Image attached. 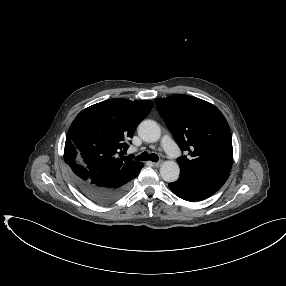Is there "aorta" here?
<instances>
[{
  "mask_svg": "<svg viewBox=\"0 0 286 286\" xmlns=\"http://www.w3.org/2000/svg\"><path fill=\"white\" fill-rule=\"evenodd\" d=\"M138 135L148 143L157 142L161 136L159 125L153 120H143L138 126ZM180 168L175 161H165L160 167L161 178L166 182H175L179 178Z\"/></svg>",
  "mask_w": 286,
  "mask_h": 286,
  "instance_id": "obj_1",
  "label": "aorta"
}]
</instances>
